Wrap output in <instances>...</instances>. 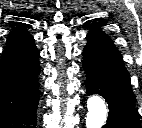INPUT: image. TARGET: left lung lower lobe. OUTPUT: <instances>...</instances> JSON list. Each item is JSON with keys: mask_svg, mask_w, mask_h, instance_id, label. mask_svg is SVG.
<instances>
[{"mask_svg": "<svg viewBox=\"0 0 142 128\" xmlns=\"http://www.w3.org/2000/svg\"><path fill=\"white\" fill-rule=\"evenodd\" d=\"M83 50L87 94H99L109 106L104 128H139L141 121L134 108L135 95L121 53L97 26L90 28Z\"/></svg>", "mask_w": 142, "mask_h": 128, "instance_id": "obj_1", "label": "left lung lower lobe"}]
</instances>
